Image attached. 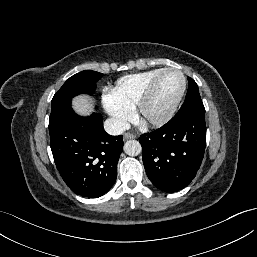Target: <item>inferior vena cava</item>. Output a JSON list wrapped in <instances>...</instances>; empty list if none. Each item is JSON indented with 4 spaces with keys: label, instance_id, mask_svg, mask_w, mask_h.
<instances>
[{
    "label": "inferior vena cava",
    "instance_id": "inferior-vena-cava-1",
    "mask_svg": "<svg viewBox=\"0 0 257 257\" xmlns=\"http://www.w3.org/2000/svg\"><path fill=\"white\" fill-rule=\"evenodd\" d=\"M129 128V124L118 118H109L104 122V129L110 135H120Z\"/></svg>",
    "mask_w": 257,
    "mask_h": 257
}]
</instances>
